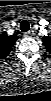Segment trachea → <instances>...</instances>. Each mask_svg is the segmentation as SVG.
Listing matches in <instances>:
<instances>
[{"label": "trachea", "mask_w": 51, "mask_h": 101, "mask_svg": "<svg viewBox=\"0 0 51 101\" xmlns=\"http://www.w3.org/2000/svg\"><path fill=\"white\" fill-rule=\"evenodd\" d=\"M20 29H21L22 32H27V31L30 29L29 22L26 21V20H23V21L20 23Z\"/></svg>", "instance_id": "trachea-1"}]
</instances>
